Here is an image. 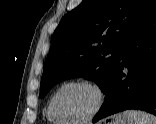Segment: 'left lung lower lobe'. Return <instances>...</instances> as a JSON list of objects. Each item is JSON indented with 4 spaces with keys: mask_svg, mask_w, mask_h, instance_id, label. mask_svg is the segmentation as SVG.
Returning <instances> with one entry per match:
<instances>
[{
    "mask_svg": "<svg viewBox=\"0 0 156 124\" xmlns=\"http://www.w3.org/2000/svg\"><path fill=\"white\" fill-rule=\"evenodd\" d=\"M104 94L93 122L127 109L156 116V2L126 43Z\"/></svg>",
    "mask_w": 156,
    "mask_h": 124,
    "instance_id": "obj_1",
    "label": "left lung lower lobe"
}]
</instances>
